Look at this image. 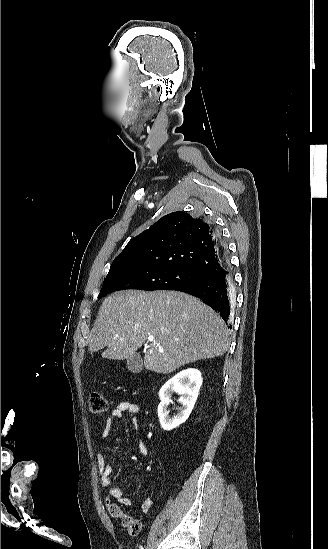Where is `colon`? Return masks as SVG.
I'll list each match as a JSON object with an SVG mask.
<instances>
[{"label": "colon", "mask_w": 328, "mask_h": 549, "mask_svg": "<svg viewBox=\"0 0 328 549\" xmlns=\"http://www.w3.org/2000/svg\"><path fill=\"white\" fill-rule=\"evenodd\" d=\"M89 408L93 413H102L107 409V402L104 396L93 391L89 396ZM105 506L109 515L121 522L123 527L130 535H137L141 530V523L138 519L123 513L120 506L112 502L109 498L105 500Z\"/></svg>", "instance_id": "1"}]
</instances>
